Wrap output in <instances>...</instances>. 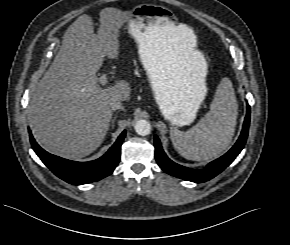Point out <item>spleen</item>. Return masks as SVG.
Listing matches in <instances>:
<instances>
[{
	"instance_id": "obj_1",
	"label": "spleen",
	"mask_w": 290,
	"mask_h": 245,
	"mask_svg": "<svg viewBox=\"0 0 290 245\" xmlns=\"http://www.w3.org/2000/svg\"><path fill=\"white\" fill-rule=\"evenodd\" d=\"M237 101L228 78L218 85L210 110L186 132L172 128L175 149L188 160L207 161L219 156L230 145L235 132Z\"/></svg>"
}]
</instances>
